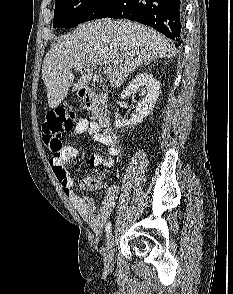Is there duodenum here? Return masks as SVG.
<instances>
[{
	"instance_id": "1",
	"label": "duodenum",
	"mask_w": 233,
	"mask_h": 294,
	"mask_svg": "<svg viewBox=\"0 0 233 294\" xmlns=\"http://www.w3.org/2000/svg\"><path fill=\"white\" fill-rule=\"evenodd\" d=\"M79 96L84 105L95 114L103 132L114 136L110 116L96 94L87 88H83L79 91Z\"/></svg>"
}]
</instances>
